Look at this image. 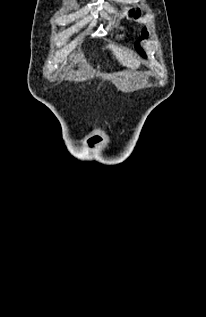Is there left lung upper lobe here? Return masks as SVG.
I'll return each instance as SVG.
<instances>
[{"label":"left lung upper lobe","instance_id":"5c2ea615","mask_svg":"<svg viewBox=\"0 0 206 317\" xmlns=\"http://www.w3.org/2000/svg\"><path fill=\"white\" fill-rule=\"evenodd\" d=\"M133 10H131L130 11V14H133ZM140 10L138 9L136 12H135V14H134V18H138L139 16H140ZM147 36H148V32H147V30L146 29H144L143 30V32H142V37H141V39H145V38H147ZM136 49L138 50V52L143 56V57H147L146 56V54H145V52L140 48V46H139V44H137L136 45Z\"/></svg>","mask_w":206,"mask_h":317}]
</instances>
